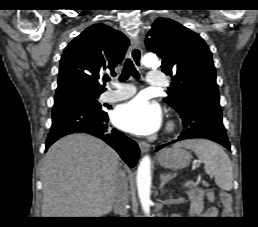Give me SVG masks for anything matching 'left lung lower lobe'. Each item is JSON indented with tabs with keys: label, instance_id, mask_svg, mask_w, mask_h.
I'll return each instance as SVG.
<instances>
[{
	"label": "left lung lower lobe",
	"instance_id": "1",
	"mask_svg": "<svg viewBox=\"0 0 258 227\" xmlns=\"http://www.w3.org/2000/svg\"><path fill=\"white\" fill-rule=\"evenodd\" d=\"M179 114L183 121L184 130L178 139L172 142L191 138H206L230 150V143L222 122V111L219 103L199 102L191 106L187 112ZM166 145L158 146L157 150Z\"/></svg>",
	"mask_w": 258,
	"mask_h": 227
}]
</instances>
